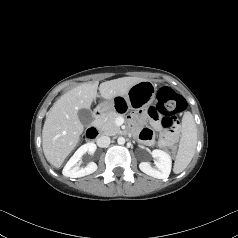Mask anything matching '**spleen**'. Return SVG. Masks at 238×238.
Instances as JSON below:
<instances>
[{"label":"spleen","instance_id":"1","mask_svg":"<svg viewBox=\"0 0 238 238\" xmlns=\"http://www.w3.org/2000/svg\"><path fill=\"white\" fill-rule=\"evenodd\" d=\"M197 145V128L190 112L182 118V136L174 163V173H181L191 162Z\"/></svg>","mask_w":238,"mask_h":238}]
</instances>
